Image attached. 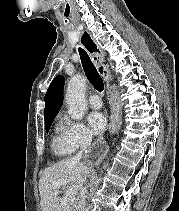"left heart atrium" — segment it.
Masks as SVG:
<instances>
[{"mask_svg": "<svg viewBox=\"0 0 179 211\" xmlns=\"http://www.w3.org/2000/svg\"><path fill=\"white\" fill-rule=\"evenodd\" d=\"M87 120L93 134L98 135L104 131L106 127V117L103 113L98 111L91 112Z\"/></svg>", "mask_w": 179, "mask_h": 211, "instance_id": "left-heart-atrium-1", "label": "left heart atrium"}]
</instances>
